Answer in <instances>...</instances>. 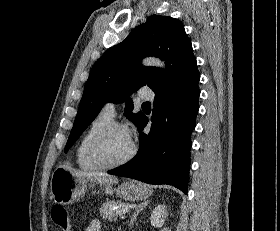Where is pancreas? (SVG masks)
I'll return each mask as SVG.
<instances>
[{"label":"pancreas","mask_w":280,"mask_h":231,"mask_svg":"<svg viewBox=\"0 0 280 231\" xmlns=\"http://www.w3.org/2000/svg\"><path fill=\"white\" fill-rule=\"evenodd\" d=\"M125 205H128V203H121V201H105L102 207H100V213L103 219H113L116 211L114 207H117V209H122V207H125Z\"/></svg>","instance_id":"pancreas-1"}]
</instances>
